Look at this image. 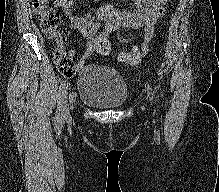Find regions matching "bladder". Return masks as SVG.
Returning <instances> with one entry per match:
<instances>
[{"label": "bladder", "instance_id": "obj_1", "mask_svg": "<svg viewBox=\"0 0 219 192\" xmlns=\"http://www.w3.org/2000/svg\"><path fill=\"white\" fill-rule=\"evenodd\" d=\"M77 82L78 99L96 108H119L128 97V88L123 77L115 70L100 64H88L81 68Z\"/></svg>", "mask_w": 219, "mask_h": 192}]
</instances>
